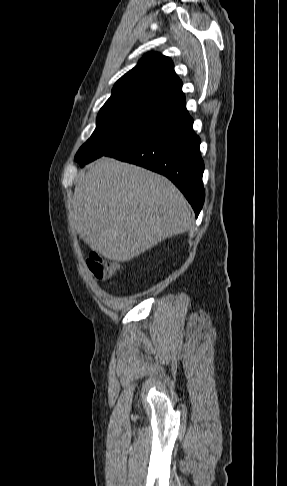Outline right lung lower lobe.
<instances>
[{"label":"right lung lower lobe","mask_w":287,"mask_h":486,"mask_svg":"<svg viewBox=\"0 0 287 486\" xmlns=\"http://www.w3.org/2000/svg\"><path fill=\"white\" fill-rule=\"evenodd\" d=\"M200 139L186 107L172 112L127 144L105 154L169 178L185 195L198 216L205 192Z\"/></svg>","instance_id":"obj_1"}]
</instances>
